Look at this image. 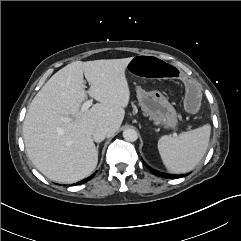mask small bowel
Here are the masks:
<instances>
[{"label":"small bowel","mask_w":241,"mask_h":241,"mask_svg":"<svg viewBox=\"0 0 241 241\" xmlns=\"http://www.w3.org/2000/svg\"><path fill=\"white\" fill-rule=\"evenodd\" d=\"M138 56H140V55H138ZM138 56H137V57H138ZM152 56H154V55H152ZM162 60H163V59H162ZM163 61H164V60H163ZM165 62H166V61H165Z\"/></svg>","instance_id":"c3829d8e"}]
</instances>
